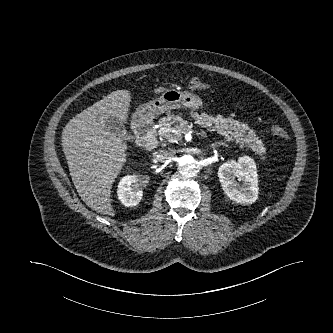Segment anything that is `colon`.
I'll list each match as a JSON object with an SVG mask.
<instances>
[{
	"label": "colon",
	"mask_w": 333,
	"mask_h": 333,
	"mask_svg": "<svg viewBox=\"0 0 333 333\" xmlns=\"http://www.w3.org/2000/svg\"><path fill=\"white\" fill-rule=\"evenodd\" d=\"M186 86L191 90H204L207 87V83L199 78H191L186 82ZM272 133L282 140L288 139V133L286 130L278 125H272Z\"/></svg>",
	"instance_id": "1"
}]
</instances>
